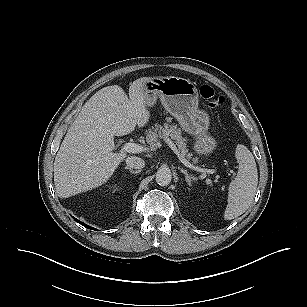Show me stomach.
<instances>
[{
	"instance_id": "1",
	"label": "stomach",
	"mask_w": 307,
	"mask_h": 307,
	"mask_svg": "<svg viewBox=\"0 0 307 307\" xmlns=\"http://www.w3.org/2000/svg\"><path fill=\"white\" fill-rule=\"evenodd\" d=\"M146 105L151 107L159 98L165 110L176 118L185 132L194 136V150L198 154H209L215 139L208 133L209 114L200 110L198 90L189 79L181 77H150L144 83Z\"/></svg>"
}]
</instances>
